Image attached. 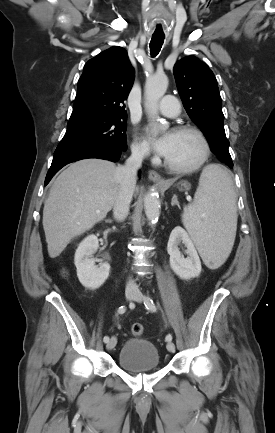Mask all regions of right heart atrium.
Here are the masks:
<instances>
[{
  "label": "right heart atrium",
  "mask_w": 275,
  "mask_h": 433,
  "mask_svg": "<svg viewBox=\"0 0 275 433\" xmlns=\"http://www.w3.org/2000/svg\"><path fill=\"white\" fill-rule=\"evenodd\" d=\"M132 152L137 158H144L148 155L149 149L145 142L136 139L132 144Z\"/></svg>",
  "instance_id": "1"
}]
</instances>
